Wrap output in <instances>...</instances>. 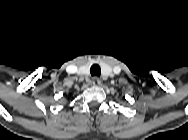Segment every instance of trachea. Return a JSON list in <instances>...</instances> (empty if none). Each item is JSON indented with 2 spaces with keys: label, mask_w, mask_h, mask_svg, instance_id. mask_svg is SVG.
<instances>
[{
  "label": "trachea",
  "mask_w": 188,
  "mask_h": 140,
  "mask_svg": "<svg viewBox=\"0 0 188 140\" xmlns=\"http://www.w3.org/2000/svg\"><path fill=\"white\" fill-rule=\"evenodd\" d=\"M90 73L92 76H100L101 74L100 66L97 64L92 65L90 68Z\"/></svg>",
  "instance_id": "trachea-1"
}]
</instances>
